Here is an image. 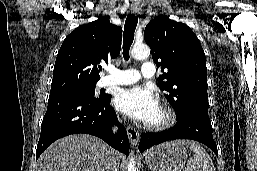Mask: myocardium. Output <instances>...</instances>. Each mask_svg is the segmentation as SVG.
Wrapping results in <instances>:
<instances>
[{
    "instance_id": "myocardium-1",
    "label": "myocardium",
    "mask_w": 257,
    "mask_h": 171,
    "mask_svg": "<svg viewBox=\"0 0 257 171\" xmlns=\"http://www.w3.org/2000/svg\"><path fill=\"white\" fill-rule=\"evenodd\" d=\"M159 110L162 113V119L159 122L149 123L146 122L144 127L152 131H163L171 128L176 122V113L167 104H160Z\"/></svg>"
}]
</instances>
